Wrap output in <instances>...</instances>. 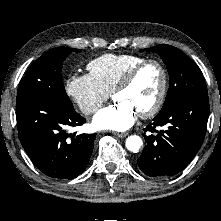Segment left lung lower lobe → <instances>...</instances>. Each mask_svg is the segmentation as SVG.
Listing matches in <instances>:
<instances>
[{
    "label": "left lung lower lobe",
    "instance_id": "obj_1",
    "mask_svg": "<svg viewBox=\"0 0 221 221\" xmlns=\"http://www.w3.org/2000/svg\"><path fill=\"white\" fill-rule=\"evenodd\" d=\"M209 117L208 94L187 98L158 114L143 136L146 147L137 163L148 176H173L184 169L200 149ZM156 127H163L161 131Z\"/></svg>",
    "mask_w": 221,
    "mask_h": 221
}]
</instances>
